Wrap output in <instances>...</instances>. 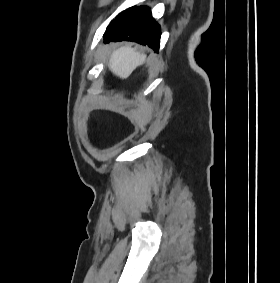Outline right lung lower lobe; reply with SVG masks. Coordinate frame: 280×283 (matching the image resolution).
<instances>
[{
    "label": "right lung lower lobe",
    "mask_w": 280,
    "mask_h": 283,
    "mask_svg": "<svg viewBox=\"0 0 280 283\" xmlns=\"http://www.w3.org/2000/svg\"><path fill=\"white\" fill-rule=\"evenodd\" d=\"M134 41L159 49L160 26L153 19L150 10L145 7H133L114 19L105 34V43L110 41Z\"/></svg>",
    "instance_id": "98d812e1"
}]
</instances>
